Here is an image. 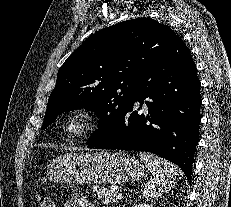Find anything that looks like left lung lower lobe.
Segmentation results:
<instances>
[{"mask_svg": "<svg viewBox=\"0 0 231 207\" xmlns=\"http://www.w3.org/2000/svg\"><path fill=\"white\" fill-rule=\"evenodd\" d=\"M138 89L118 129L88 147L151 152L177 164L190 180L202 102L196 65L180 37L147 66ZM145 98L148 113L140 114Z\"/></svg>", "mask_w": 231, "mask_h": 207, "instance_id": "left-lung-lower-lobe-1", "label": "left lung lower lobe"}]
</instances>
